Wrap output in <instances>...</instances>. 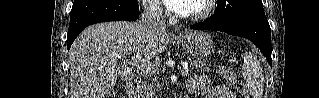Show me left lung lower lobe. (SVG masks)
<instances>
[{
  "label": "left lung lower lobe",
  "mask_w": 319,
  "mask_h": 98,
  "mask_svg": "<svg viewBox=\"0 0 319 98\" xmlns=\"http://www.w3.org/2000/svg\"><path fill=\"white\" fill-rule=\"evenodd\" d=\"M191 29L222 31L247 38L261 50L271 65V31L262 8L250 10L234 19L221 23H198L192 25Z\"/></svg>",
  "instance_id": "0a47b994"
}]
</instances>
